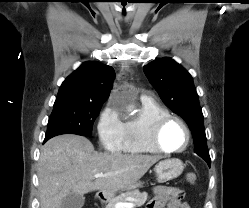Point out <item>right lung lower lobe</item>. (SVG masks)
<instances>
[{
  "label": "right lung lower lobe",
  "instance_id": "1",
  "mask_svg": "<svg viewBox=\"0 0 249 208\" xmlns=\"http://www.w3.org/2000/svg\"><path fill=\"white\" fill-rule=\"evenodd\" d=\"M50 138H52V137H45L44 143H45L47 140H49Z\"/></svg>",
  "mask_w": 249,
  "mask_h": 208
}]
</instances>
